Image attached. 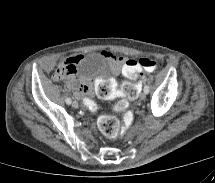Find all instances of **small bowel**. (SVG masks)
Segmentation results:
<instances>
[{"instance_id": "1", "label": "small bowel", "mask_w": 215, "mask_h": 183, "mask_svg": "<svg viewBox=\"0 0 215 183\" xmlns=\"http://www.w3.org/2000/svg\"><path fill=\"white\" fill-rule=\"evenodd\" d=\"M101 54L111 60H114L117 64L121 66H125L126 62L129 61L126 56L119 55L116 56L112 54L109 51L103 50ZM84 56L82 54H72L68 57H66L64 60L61 61L60 66L64 65L69 68L71 73L68 75L72 78V87L74 89V92L78 98H83L85 94H88L90 96L89 90L92 87V82L90 79L86 77H80L77 75V64L78 62L83 58ZM142 69H139V72H141ZM55 77L59 79L56 74ZM94 91L96 95L104 98V99H110L113 96L116 95V88L114 83H109L105 80H100L96 82L94 86Z\"/></svg>"}]
</instances>
